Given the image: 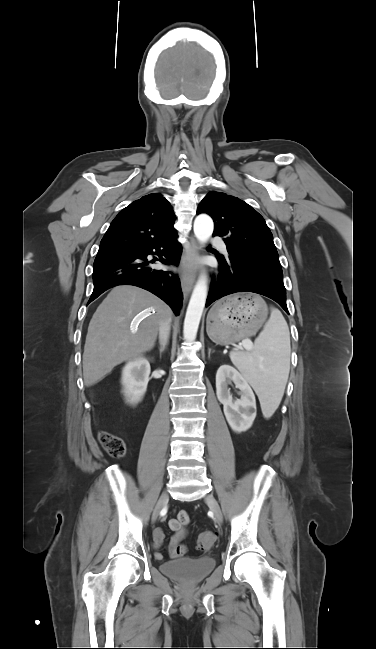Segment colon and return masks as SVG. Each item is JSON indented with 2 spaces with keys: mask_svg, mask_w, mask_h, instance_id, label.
I'll use <instances>...</instances> for the list:
<instances>
[{
  "mask_svg": "<svg viewBox=\"0 0 376 649\" xmlns=\"http://www.w3.org/2000/svg\"><path fill=\"white\" fill-rule=\"evenodd\" d=\"M100 444L105 451L113 458H122L126 454V444L124 440L114 434L101 432L98 436ZM215 541V535L212 532H202L198 536L197 545L199 549L208 550Z\"/></svg>",
  "mask_w": 376,
  "mask_h": 649,
  "instance_id": "5ec220e1",
  "label": "colon"
}]
</instances>
